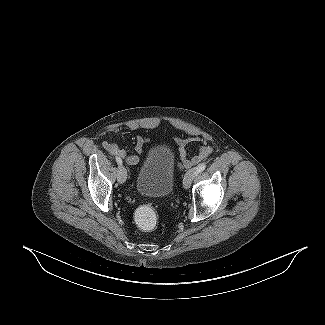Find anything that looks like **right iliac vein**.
<instances>
[{"instance_id":"obj_1","label":"right iliac vein","mask_w":325,"mask_h":325,"mask_svg":"<svg viewBox=\"0 0 325 325\" xmlns=\"http://www.w3.org/2000/svg\"><path fill=\"white\" fill-rule=\"evenodd\" d=\"M117 179L119 183H124L127 179V170L123 165H119L117 170Z\"/></svg>"}]
</instances>
